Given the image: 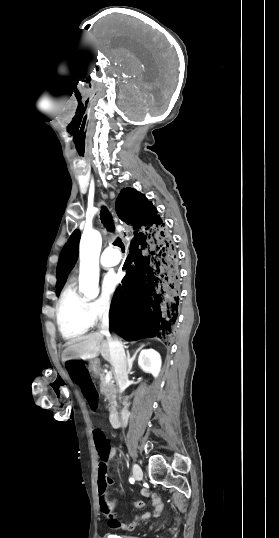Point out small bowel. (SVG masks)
Returning <instances> with one entry per match:
<instances>
[{"label": "small bowel", "instance_id": "c3829d8e", "mask_svg": "<svg viewBox=\"0 0 279 538\" xmlns=\"http://www.w3.org/2000/svg\"><path fill=\"white\" fill-rule=\"evenodd\" d=\"M115 456V451L111 449L110 457ZM142 495L145 497H149L150 493L147 489L142 490ZM152 509L151 511L142 514V515H136L133 517V519L128 524H122L117 519L116 516L113 515L111 518H107L109 526L112 528H123L125 530H133L136 528V526L143 520L149 519L151 516H158L161 512L162 503L158 496L152 495ZM129 504L136 508V509H142L145 507V503L143 501H129Z\"/></svg>", "mask_w": 279, "mask_h": 538}]
</instances>
